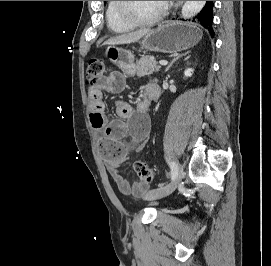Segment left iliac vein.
<instances>
[{
	"instance_id": "4c4485c4",
	"label": "left iliac vein",
	"mask_w": 271,
	"mask_h": 266,
	"mask_svg": "<svg viewBox=\"0 0 271 266\" xmlns=\"http://www.w3.org/2000/svg\"><path fill=\"white\" fill-rule=\"evenodd\" d=\"M176 168H177V175L171 181V183H169L168 185H166L164 187L149 191L145 195L144 199L150 200V201L160 199V198H163V197L170 195L173 191H175V189L180 184V182L184 176L183 168L179 163H176Z\"/></svg>"
}]
</instances>
